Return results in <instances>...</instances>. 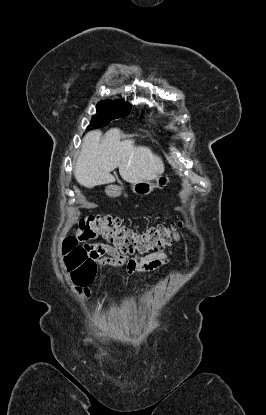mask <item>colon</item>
<instances>
[{"label": "colon", "mask_w": 266, "mask_h": 415, "mask_svg": "<svg viewBox=\"0 0 266 415\" xmlns=\"http://www.w3.org/2000/svg\"><path fill=\"white\" fill-rule=\"evenodd\" d=\"M179 228L180 224L158 225L139 233L114 216H87L79 221L75 236L64 240V262L72 280L80 286H87L96 275L97 264L88 245L80 243L101 236L125 255L155 252L177 240L180 237Z\"/></svg>", "instance_id": "1"}]
</instances>
